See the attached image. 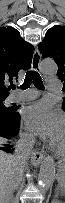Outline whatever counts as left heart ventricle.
<instances>
[{
  "label": "left heart ventricle",
  "instance_id": "b2bd125f",
  "mask_svg": "<svg viewBox=\"0 0 65 203\" xmlns=\"http://www.w3.org/2000/svg\"><path fill=\"white\" fill-rule=\"evenodd\" d=\"M57 148L64 149L65 148V131L62 135L53 143Z\"/></svg>",
  "mask_w": 65,
  "mask_h": 203
}]
</instances>
